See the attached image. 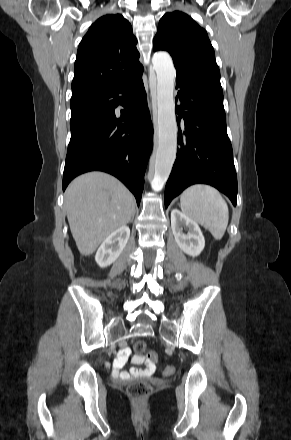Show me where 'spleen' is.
Returning a JSON list of instances; mask_svg holds the SVG:
<instances>
[{"instance_id": "obj_1", "label": "spleen", "mask_w": 291, "mask_h": 440, "mask_svg": "<svg viewBox=\"0 0 291 440\" xmlns=\"http://www.w3.org/2000/svg\"><path fill=\"white\" fill-rule=\"evenodd\" d=\"M180 206L184 214L208 229L216 240L222 239L229 211L219 191L209 185L190 186L182 193Z\"/></svg>"}]
</instances>
